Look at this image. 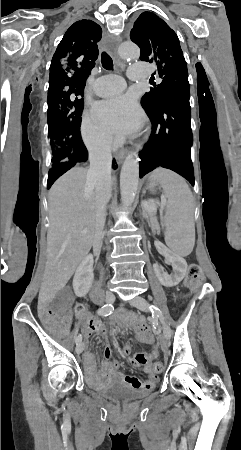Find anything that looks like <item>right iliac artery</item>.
<instances>
[{"mask_svg":"<svg viewBox=\"0 0 241 450\" xmlns=\"http://www.w3.org/2000/svg\"><path fill=\"white\" fill-rule=\"evenodd\" d=\"M113 310H114V308L111 304H106L97 310V314L100 316H108L112 313ZM81 341H82V336H81V334H79L76 337V343L78 344Z\"/></svg>","mask_w":241,"mask_h":450,"instance_id":"obj_1","label":"right iliac artery"}]
</instances>
